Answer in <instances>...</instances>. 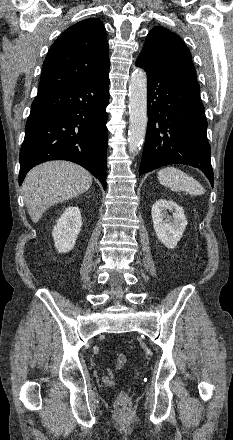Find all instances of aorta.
Segmentation results:
<instances>
[{
	"mask_svg": "<svg viewBox=\"0 0 233 440\" xmlns=\"http://www.w3.org/2000/svg\"><path fill=\"white\" fill-rule=\"evenodd\" d=\"M147 77L142 69H135L129 83V152H138L147 128Z\"/></svg>",
	"mask_w": 233,
	"mask_h": 440,
	"instance_id": "762f6f07",
	"label": "aorta"
}]
</instances>
